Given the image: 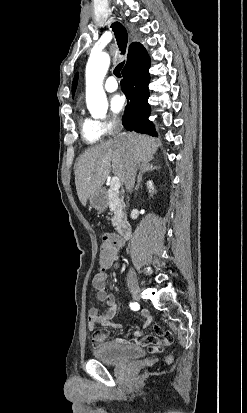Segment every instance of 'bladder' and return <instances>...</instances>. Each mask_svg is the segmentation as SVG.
<instances>
[{
  "label": "bladder",
  "instance_id": "1",
  "mask_svg": "<svg viewBox=\"0 0 247 413\" xmlns=\"http://www.w3.org/2000/svg\"><path fill=\"white\" fill-rule=\"evenodd\" d=\"M144 351L136 345H125L116 341L106 342L101 348L93 351L94 358L112 364H123L126 361L143 358Z\"/></svg>",
  "mask_w": 247,
  "mask_h": 413
}]
</instances>
